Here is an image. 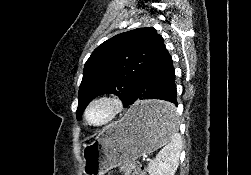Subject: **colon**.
<instances>
[{
  "label": "colon",
  "mask_w": 251,
  "mask_h": 175,
  "mask_svg": "<svg viewBox=\"0 0 251 175\" xmlns=\"http://www.w3.org/2000/svg\"><path fill=\"white\" fill-rule=\"evenodd\" d=\"M118 170L122 175H146L145 167L137 160L120 164Z\"/></svg>",
  "instance_id": "1"
}]
</instances>
